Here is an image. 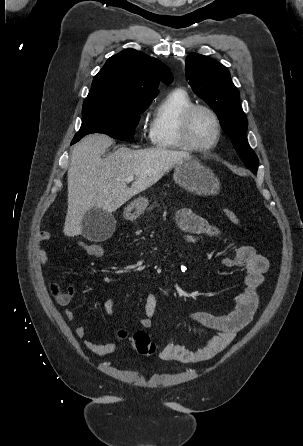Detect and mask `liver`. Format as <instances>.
<instances>
[{
	"label": "liver",
	"instance_id": "1",
	"mask_svg": "<svg viewBox=\"0 0 303 446\" xmlns=\"http://www.w3.org/2000/svg\"><path fill=\"white\" fill-rule=\"evenodd\" d=\"M113 143L103 134L83 138L73 148L68 168V209L64 234L82 233L84 215L92 208L116 211L134 195L159 181L173 166L190 159L185 152L160 148L132 150L120 147L106 158L101 155ZM135 176L127 186L125 179Z\"/></svg>",
	"mask_w": 303,
	"mask_h": 446
}]
</instances>
